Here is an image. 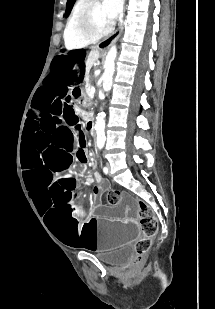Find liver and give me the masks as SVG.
I'll return each mask as SVG.
<instances>
[{
  "label": "liver",
  "mask_w": 215,
  "mask_h": 309,
  "mask_svg": "<svg viewBox=\"0 0 215 309\" xmlns=\"http://www.w3.org/2000/svg\"><path fill=\"white\" fill-rule=\"evenodd\" d=\"M99 58V50L97 46H91V50L88 54V58L86 60V70L89 72L92 64H94L95 60Z\"/></svg>",
  "instance_id": "liver-1"
}]
</instances>
